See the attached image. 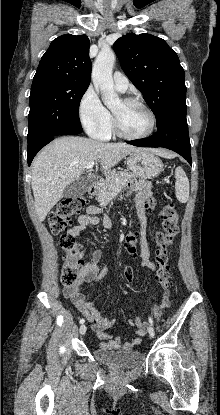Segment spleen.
Returning a JSON list of instances; mask_svg holds the SVG:
<instances>
[{
	"mask_svg": "<svg viewBox=\"0 0 220 415\" xmlns=\"http://www.w3.org/2000/svg\"><path fill=\"white\" fill-rule=\"evenodd\" d=\"M175 179L176 197L180 202L186 203L189 199V180L186 173L180 166H178L175 170Z\"/></svg>",
	"mask_w": 220,
	"mask_h": 415,
	"instance_id": "spleen-1",
	"label": "spleen"
}]
</instances>
